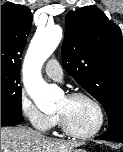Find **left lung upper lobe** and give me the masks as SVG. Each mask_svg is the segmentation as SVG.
Masks as SVG:
<instances>
[{"label":"left lung upper lobe","instance_id":"1","mask_svg":"<svg viewBox=\"0 0 123 152\" xmlns=\"http://www.w3.org/2000/svg\"><path fill=\"white\" fill-rule=\"evenodd\" d=\"M61 55L66 71L107 112L113 127L123 118L121 29L96 6L69 11Z\"/></svg>","mask_w":123,"mask_h":152}]
</instances>
